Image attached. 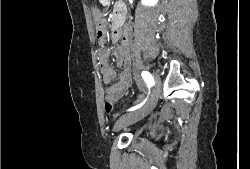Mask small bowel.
I'll list each match as a JSON object with an SVG mask.
<instances>
[{
  "mask_svg": "<svg viewBox=\"0 0 250 169\" xmlns=\"http://www.w3.org/2000/svg\"><path fill=\"white\" fill-rule=\"evenodd\" d=\"M122 19V13L116 11L114 21L119 22ZM101 24V23H98ZM103 42V41H102ZM113 55L117 66L121 69L119 80L106 89L105 95H118V100L121 99L129 90L132 84L131 78V57L129 51V40L125 38L122 41L120 48L111 52L107 48H101L98 51V63L104 83H111L116 76L115 70L109 64V58ZM116 100V101H118Z\"/></svg>",
  "mask_w": 250,
  "mask_h": 169,
  "instance_id": "obj_1",
  "label": "small bowel"
}]
</instances>
